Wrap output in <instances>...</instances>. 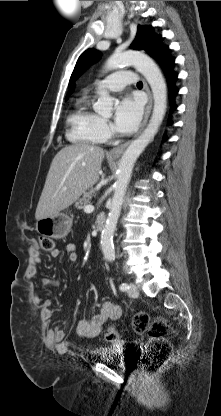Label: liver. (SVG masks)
<instances>
[{
	"mask_svg": "<svg viewBox=\"0 0 221 416\" xmlns=\"http://www.w3.org/2000/svg\"><path fill=\"white\" fill-rule=\"evenodd\" d=\"M104 156L101 147L89 144L62 148L50 165L36 208V220L58 214L95 185Z\"/></svg>",
	"mask_w": 221,
	"mask_h": 416,
	"instance_id": "obj_1",
	"label": "liver"
}]
</instances>
